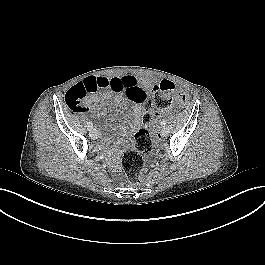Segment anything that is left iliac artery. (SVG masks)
Instances as JSON below:
<instances>
[{
    "label": "left iliac artery",
    "mask_w": 265,
    "mask_h": 265,
    "mask_svg": "<svg viewBox=\"0 0 265 265\" xmlns=\"http://www.w3.org/2000/svg\"><path fill=\"white\" fill-rule=\"evenodd\" d=\"M161 124L165 126V125L167 124V120H166V119H163V120L161 121Z\"/></svg>",
    "instance_id": "44dca946"
}]
</instances>
